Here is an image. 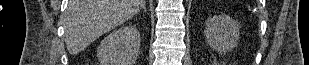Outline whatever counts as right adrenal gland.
Masks as SVG:
<instances>
[{
  "label": "right adrenal gland",
  "instance_id": "2a0ac1e0",
  "mask_svg": "<svg viewBox=\"0 0 309 65\" xmlns=\"http://www.w3.org/2000/svg\"><path fill=\"white\" fill-rule=\"evenodd\" d=\"M143 10H144V12H146V7L145 6L143 7Z\"/></svg>",
  "mask_w": 309,
  "mask_h": 65
}]
</instances>
